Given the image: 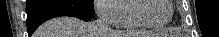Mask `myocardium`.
Wrapping results in <instances>:
<instances>
[{
	"instance_id": "myocardium-1",
	"label": "myocardium",
	"mask_w": 219,
	"mask_h": 37,
	"mask_svg": "<svg viewBox=\"0 0 219 37\" xmlns=\"http://www.w3.org/2000/svg\"><path fill=\"white\" fill-rule=\"evenodd\" d=\"M146 0H133L132 7H131V14L132 17L142 26L147 27V28H162L166 26L173 18L174 15V8L172 1L170 0H165L170 8V15L169 17L160 23L152 22L144 18L141 14V7L142 3L145 2Z\"/></svg>"
}]
</instances>
